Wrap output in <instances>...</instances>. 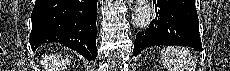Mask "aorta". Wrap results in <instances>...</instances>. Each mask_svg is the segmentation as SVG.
Wrapping results in <instances>:
<instances>
[{
  "label": "aorta",
  "mask_w": 230,
  "mask_h": 71,
  "mask_svg": "<svg viewBox=\"0 0 230 71\" xmlns=\"http://www.w3.org/2000/svg\"><path fill=\"white\" fill-rule=\"evenodd\" d=\"M153 19V9L150 0H137L134 14V23L139 29H146Z\"/></svg>",
  "instance_id": "762f6f07"
}]
</instances>
